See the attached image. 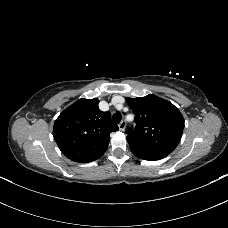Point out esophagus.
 Instances as JSON below:
<instances>
[{"instance_id":"1","label":"esophagus","mask_w":228,"mask_h":228,"mask_svg":"<svg viewBox=\"0 0 228 228\" xmlns=\"http://www.w3.org/2000/svg\"><path fill=\"white\" fill-rule=\"evenodd\" d=\"M120 131H124L126 128V121H121L118 125Z\"/></svg>"}]
</instances>
